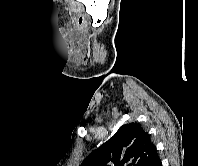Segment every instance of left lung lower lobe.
<instances>
[{
    "label": "left lung lower lobe",
    "instance_id": "left-lung-lower-lobe-1",
    "mask_svg": "<svg viewBox=\"0 0 198 166\" xmlns=\"http://www.w3.org/2000/svg\"><path fill=\"white\" fill-rule=\"evenodd\" d=\"M149 166H162V162H161L158 154L155 156V158L153 159V161L151 162V164Z\"/></svg>",
    "mask_w": 198,
    "mask_h": 166
}]
</instances>
